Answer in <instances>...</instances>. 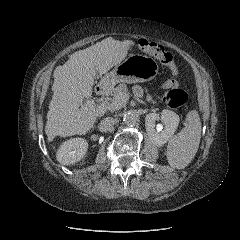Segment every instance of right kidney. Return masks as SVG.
I'll list each match as a JSON object with an SVG mask.
<instances>
[{"label":"right kidney","instance_id":"right-kidney-1","mask_svg":"<svg viewBox=\"0 0 240 240\" xmlns=\"http://www.w3.org/2000/svg\"><path fill=\"white\" fill-rule=\"evenodd\" d=\"M88 143L83 138H72L59 147L56 159L62 165H71L80 161L86 154Z\"/></svg>","mask_w":240,"mask_h":240}]
</instances>
